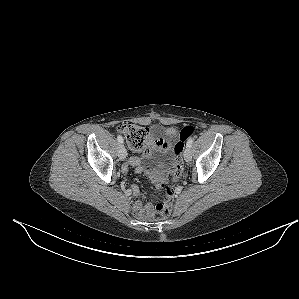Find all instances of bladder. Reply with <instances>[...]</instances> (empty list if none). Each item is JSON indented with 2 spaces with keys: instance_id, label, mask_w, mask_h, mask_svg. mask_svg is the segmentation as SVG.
I'll use <instances>...</instances> for the list:
<instances>
[{
  "instance_id": "1",
  "label": "bladder",
  "mask_w": 299,
  "mask_h": 299,
  "mask_svg": "<svg viewBox=\"0 0 299 299\" xmlns=\"http://www.w3.org/2000/svg\"><path fill=\"white\" fill-rule=\"evenodd\" d=\"M173 142V136L154 140L147 149L145 161L154 166L170 165L175 157Z\"/></svg>"
}]
</instances>
